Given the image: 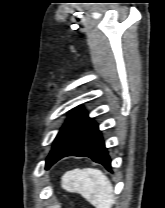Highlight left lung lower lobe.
<instances>
[{
	"instance_id": "1",
	"label": "left lung lower lobe",
	"mask_w": 165,
	"mask_h": 208,
	"mask_svg": "<svg viewBox=\"0 0 165 208\" xmlns=\"http://www.w3.org/2000/svg\"><path fill=\"white\" fill-rule=\"evenodd\" d=\"M66 156L89 157L102 164L108 171L111 170V160L106 150L98 125L90 119L80 130L73 141ZM62 157V158H63Z\"/></svg>"
}]
</instances>
